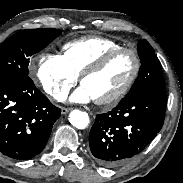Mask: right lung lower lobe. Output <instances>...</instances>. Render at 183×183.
I'll return each instance as SVG.
<instances>
[{"label": "right lung lower lobe", "instance_id": "right-lung-lower-lobe-1", "mask_svg": "<svg viewBox=\"0 0 183 183\" xmlns=\"http://www.w3.org/2000/svg\"><path fill=\"white\" fill-rule=\"evenodd\" d=\"M60 117L28 75L0 78V152L18 160L40 153Z\"/></svg>", "mask_w": 183, "mask_h": 183}]
</instances>
